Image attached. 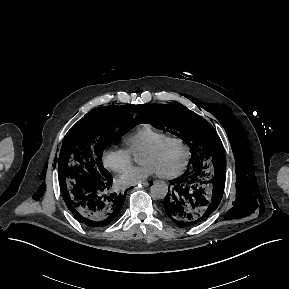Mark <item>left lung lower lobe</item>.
Wrapping results in <instances>:
<instances>
[{
	"mask_svg": "<svg viewBox=\"0 0 289 289\" xmlns=\"http://www.w3.org/2000/svg\"><path fill=\"white\" fill-rule=\"evenodd\" d=\"M226 162L214 169H188L171 180L172 188L163 202L167 216L186 227L206 220L219 206L225 185Z\"/></svg>",
	"mask_w": 289,
	"mask_h": 289,
	"instance_id": "1",
	"label": "left lung lower lobe"
}]
</instances>
